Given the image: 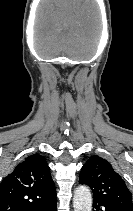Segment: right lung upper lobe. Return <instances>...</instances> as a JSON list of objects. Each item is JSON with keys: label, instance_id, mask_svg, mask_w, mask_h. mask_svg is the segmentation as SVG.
<instances>
[{"label": "right lung upper lobe", "instance_id": "obj_1", "mask_svg": "<svg viewBox=\"0 0 133 211\" xmlns=\"http://www.w3.org/2000/svg\"><path fill=\"white\" fill-rule=\"evenodd\" d=\"M55 197V185L45 158L30 155L2 180L0 211H35Z\"/></svg>", "mask_w": 133, "mask_h": 211}]
</instances>
